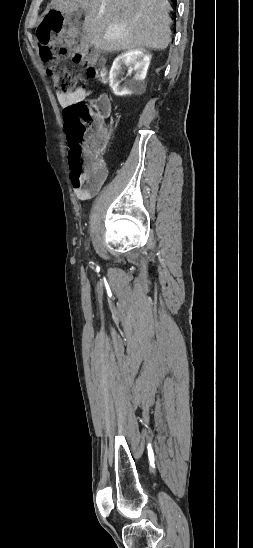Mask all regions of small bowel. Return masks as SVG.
Returning <instances> with one entry per match:
<instances>
[{
  "mask_svg": "<svg viewBox=\"0 0 253 548\" xmlns=\"http://www.w3.org/2000/svg\"><path fill=\"white\" fill-rule=\"evenodd\" d=\"M88 93L83 88H79L72 93H57V99L61 106L68 107L79 101H83L87 97ZM108 172L104 167L101 177L93 181L83 182L80 185L73 184L74 194L77 199L84 201L92 198L101 189L106 181Z\"/></svg>",
  "mask_w": 253,
  "mask_h": 548,
  "instance_id": "c3829d8e",
  "label": "small bowel"
}]
</instances>
